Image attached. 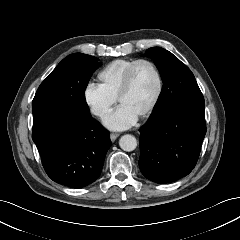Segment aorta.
Here are the masks:
<instances>
[{
  "instance_id": "1",
  "label": "aorta",
  "mask_w": 240,
  "mask_h": 240,
  "mask_svg": "<svg viewBox=\"0 0 240 240\" xmlns=\"http://www.w3.org/2000/svg\"><path fill=\"white\" fill-rule=\"evenodd\" d=\"M119 146L122 150L130 152L136 149L137 140L133 135H123L119 140Z\"/></svg>"
}]
</instances>
